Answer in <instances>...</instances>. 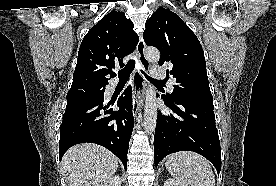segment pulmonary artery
Listing matches in <instances>:
<instances>
[{
	"mask_svg": "<svg viewBox=\"0 0 276 186\" xmlns=\"http://www.w3.org/2000/svg\"><path fill=\"white\" fill-rule=\"evenodd\" d=\"M150 72H151L152 76L156 79H165L166 78V71L161 66H152L150 68ZM169 84L171 87L173 86V82H170Z\"/></svg>",
	"mask_w": 276,
	"mask_h": 186,
	"instance_id": "1",
	"label": "pulmonary artery"
}]
</instances>
